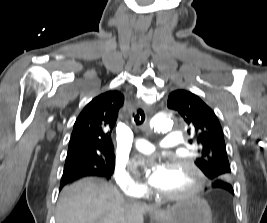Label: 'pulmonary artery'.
<instances>
[{
    "label": "pulmonary artery",
    "mask_w": 267,
    "mask_h": 223,
    "mask_svg": "<svg viewBox=\"0 0 267 223\" xmlns=\"http://www.w3.org/2000/svg\"><path fill=\"white\" fill-rule=\"evenodd\" d=\"M182 142V136L176 133L165 134L161 145L163 147L171 148L179 146ZM134 147L142 153H151L155 150V145L145 139H137L134 142Z\"/></svg>",
    "instance_id": "e3ab8cb5"
}]
</instances>
